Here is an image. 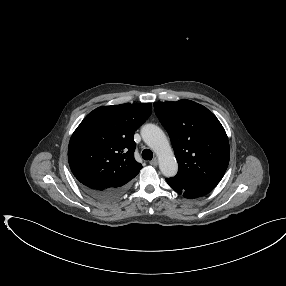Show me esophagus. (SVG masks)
<instances>
[{
    "mask_svg": "<svg viewBox=\"0 0 286 286\" xmlns=\"http://www.w3.org/2000/svg\"><path fill=\"white\" fill-rule=\"evenodd\" d=\"M150 164H151L152 166H157V165H158V160H157V158H154L153 160H151V161H150Z\"/></svg>",
    "mask_w": 286,
    "mask_h": 286,
    "instance_id": "1",
    "label": "esophagus"
}]
</instances>
